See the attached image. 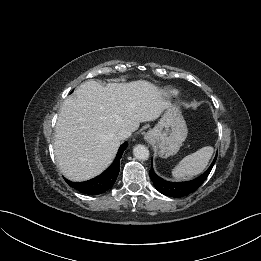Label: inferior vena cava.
Returning <instances> with one entry per match:
<instances>
[{
    "label": "inferior vena cava",
    "instance_id": "602c4592",
    "mask_svg": "<svg viewBox=\"0 0 261 261\" xmlns=\"http://www.w3.org/2000/svg\"><path fill=\"white\" fill-rule=\"evenodd\" d=\"M131 130L130 129H127V128H124V129H121L119 132H118V137L123 140V139H126L128 137L131 136Z\"/></svg>",
    "mask_w": 261,
    "mask_h": 261
}]
</instances>
